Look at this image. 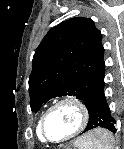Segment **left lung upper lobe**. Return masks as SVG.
Instances as JSON below:
<instances>
[{
	"label": "left lung upper lobe",
	"instance_id": "obj_1",
	"mask_svg": "<svg viewBox=\"0 0 124 149\" xmlns=\"http://www.w3.org/2000/svg\"><path fill=\"white\" fill-rule=\"evenodd\" d=\"M102 35L89 18L75 17L49 30L33 56L32 111L56 96L87 97L104 83Z\"/></svg>",
	"mask_w": 124,
	"mask_h": 149
}]
</instances>
